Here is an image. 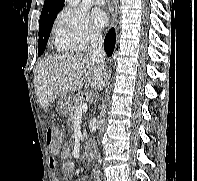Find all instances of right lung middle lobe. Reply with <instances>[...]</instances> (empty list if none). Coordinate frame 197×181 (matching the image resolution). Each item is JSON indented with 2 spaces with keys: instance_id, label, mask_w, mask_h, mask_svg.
<instances>
[{
  "instance_id": "dd1d6c3e",
  "label": "right lung middle lobe",
  "mask_w": 197,
  "mask_h": 181,
  "mask_svg": "<svg viewBox=\"0 0 197 181\" xmlns=\"http://www.w3.org/2000/svg\"><path fill=\"white\" fill-rule=\"evenodd\" d=\"M56 16H57V13L40 17L38 56L42 55L45 51L46 44L50 36V31H51V28H52V25Z\"/></svg>"
}]
</instances>
